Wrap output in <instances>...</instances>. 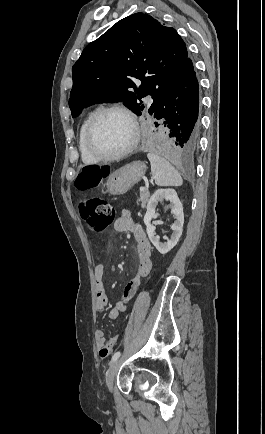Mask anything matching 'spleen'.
Listing matches in <instances>:
<instances>
[{
    "instance_id": "1",
    "label": "spleen",
    "mask_w": 265,
    "mask_h": 434,
    "mask_svg": "<svg viewBox=\"0 0 265 434\" xmlns=\"http://www.w3.org/2000/svg\"><path fill=\"white\" fill-rule=\"evenodd\" d=\"M147 158L151 164L153 180L157 186H182L183 180L179 172L165 158L152 154V152L147 154Z\"/></svg>"
}]
</instances>
